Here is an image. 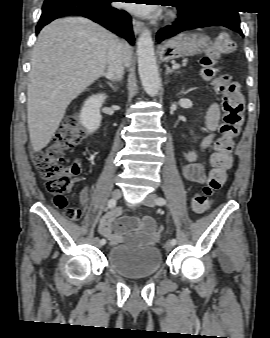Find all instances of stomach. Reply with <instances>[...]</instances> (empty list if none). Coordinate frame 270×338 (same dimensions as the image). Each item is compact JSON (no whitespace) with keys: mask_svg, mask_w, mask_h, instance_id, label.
<instances>
[{"mask_svg":"<svg viewBox=\"0 0 270 338\" xmlns=\"http://www.w3.org/2000/svg\"><path fill=\"white\" fill-rule=\"evenodd\" d=\"M210 46V39L200 33H182L165 41L159 50L161 60L201 54Z\"/></svg>","mask_w":270,"mask_h":338,"instance_id":"0dacf381","label":"stomach"}]
</instances>
